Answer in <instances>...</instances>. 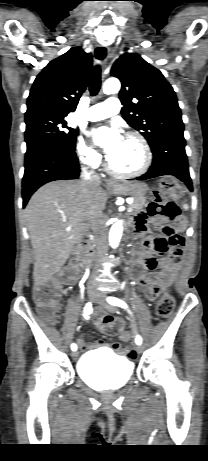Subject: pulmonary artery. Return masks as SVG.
I'll return each instance as SVG.
<instances>
[{"instance_id": "e3ab8cb5", "label": "pulmonary artery", "mask_w": 208, "mask_h": 461, "mask_svg": "<svg viewBox=\"0 0 208 461\" xmlns=\"http://www.w3.org/2000/svg\"><path fill=\"white\" fill-rule=\"evenodd\" d=\"M120 111V101L117 98L110 97L104 102L90 107L85 117L90 121H98L117 114Z\"/></svg>"}]
</instances>
